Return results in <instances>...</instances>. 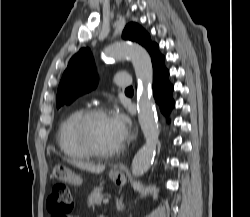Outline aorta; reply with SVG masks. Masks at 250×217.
<instances>
[{
    "label": "aorta",
    "instance_id": "762f6f07",
    "mask_svg": "<svg viewBox=\"0 0 250 217\" xmlns=\"http://www.w3.org/2000/svg\"><path fill=\"white\" fill-rule=\"evenodd\" d=\"M103 54L110 59L129 58L132 61L139 82L137 96L138 120L145 137V144L133 158L132 174L136 177L141 176L152 164L159 137L157 114L150 92L153 80L151 58L142 46L135 43L110 45L104 50Z\"/></svg>",
    "mask_w": 250,
    "mask_h": 217
}]
</instances>
